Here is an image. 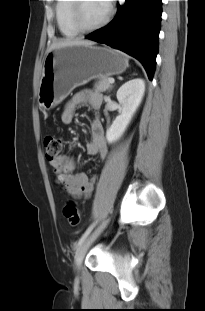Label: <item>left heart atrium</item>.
Masks as SVG:
<instances>
[{
    "label": "left heart atrium",
    "instance_id": "39dd6f15",
    "mask_svg": "<svg viewBox=\"0 0 205 311\" xmlns=\"http://www.w3.org/2000/svg\"><path fill=\"white\" fill-rule=\"evenodd\" d=\"M104 1H108V0H104ZM105 4H106L107 7L109 6V4H107L106 2H105Z\"/></svg>",
    "mask_w": 205,
    "mask_h": 311
}]
</instances>
